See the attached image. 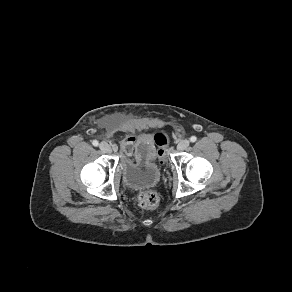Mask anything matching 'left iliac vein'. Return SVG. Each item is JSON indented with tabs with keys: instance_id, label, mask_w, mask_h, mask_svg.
<instances>
[{
	"instance_id": "1",
	"label": "left iliac vein",
	"mask_w": 292,
	"mask_h": 292,
	"mask_svg": "<svg viewBox=\"0 0 292 292\" xmlns=\"http://www.w3.org/2000/svg\"><path fill=\"white\" fill-rule=\"evenodd\" d=\"M190 144V141L188 139H183V140H180L177 144V149L182 151V150H185Z\"/></svg>"
}]
</instances>
